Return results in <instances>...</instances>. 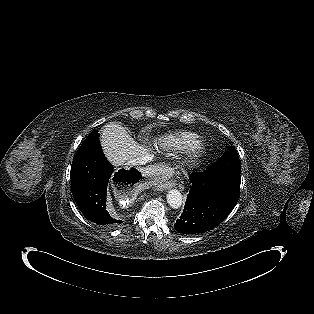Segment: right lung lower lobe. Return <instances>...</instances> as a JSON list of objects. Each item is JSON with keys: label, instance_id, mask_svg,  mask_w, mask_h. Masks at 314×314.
Segmentation results:
<instances>
[{"label": "right lung lower lobe", "instance_id": "98d812e1", "mask_svg": "<svg viewBox=\"0 0 314 314\" xmlns=\"http://www.w3.org/2000/svg\"><path fill=\"white\" fill-rule=\"evenodd\" d=\"M72 195L86 219L102 227L113 228L122 223L106 210L107 186L112 180L119 186H131L141 178L136 170L121 169L115 174L106 160L100 142L91 149L76 154L71 167Z\"/></svg>", "mask_w": 314, "mask_h": 314}]
</instances>
